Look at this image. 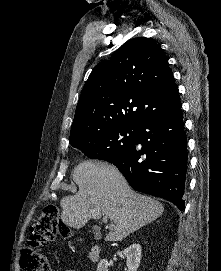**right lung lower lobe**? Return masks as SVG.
Wrapping results in <instances>:
<instances>
[{"instance_id": "right-lung-lower-lobe-1", "label": "right lung lower lobe", "mask_w": 221, "mask_h": 271, "mask_svg": "<svg viewBox=\"0 0 221 271\" xmlns=\"http://www.w3.org/2000/svg\"><path fill=\"white\" fill-rule=\"evenodd\" d=\"M138 144L142 149L136 148ZM187 159L180 104L143 121L134 146L113 164L134 190L165 198L182 211Z\"/></svg>"}]
</instances>
